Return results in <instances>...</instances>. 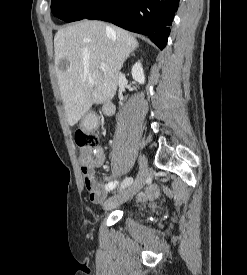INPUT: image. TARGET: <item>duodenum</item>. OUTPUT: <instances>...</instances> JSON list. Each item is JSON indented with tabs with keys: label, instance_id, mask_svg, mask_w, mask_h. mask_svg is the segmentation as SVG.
Instances as JSON below:
<instances>
[{
	"label": "duodenum",
	"instance_id": "obj_1",
	"mask_svg": "<svg viewBox=\"0 0 247 275\" xmlns=\"http://www.w3.org/2000/svg\"><path fill=\"white\" fill-rule=\"evenodd\" d=\"M114 111V105L112 102L108 101L105 103L103 108V114L105 115H111Z\"/></svg>",
	"mask_w": 247,
	"mask_h": 275
}]
</instances>
